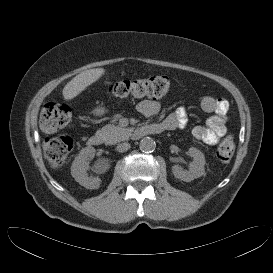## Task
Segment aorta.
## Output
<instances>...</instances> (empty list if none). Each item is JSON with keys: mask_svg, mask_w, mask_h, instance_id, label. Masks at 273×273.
<instances>
[{"mask_svg": "<svg viewBox=\"0 0 273 273\" xmlns=\"http://www.w3.org/2000/svg\"><path fill=\"white\" fill-rule=\"evenodd\" d=\"M140 150L143 152H153L156 148V143L151 137H144L139 143Z\"/></svg>", "mask_w": 273, "mask_h": 273, "instance_id": "1", "label": "aorta"}]
</instances>
